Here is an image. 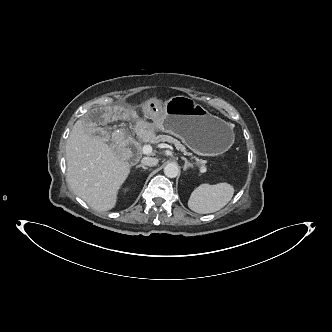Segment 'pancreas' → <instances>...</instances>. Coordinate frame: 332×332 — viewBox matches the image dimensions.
<instances>
[{
  "label": "pancreas",
  "instance_id": "cf45deb5",
  "mask_svg": "<svg viewBox=\"0 0 332 332\" xmlns=\"http://www.w3.org/2000/svg\"><path fill=\"white\" fill-rule=\"evenodd\" d=\"M149 142L152 144H157L160 142H168V143H172L175 145L177 150L180 151H185L186 147L177 139L173 138L170 135H153L150 137ZM188 155H190V153H187ZM196 160V165L199 167V170L201 173H204L206 171V166H205V161L198 159L196 157H194ZM205 170V171H204Z\"/></svg>",
  "mask_w": 332,
  "mask_h": 332
}]
</instances>
